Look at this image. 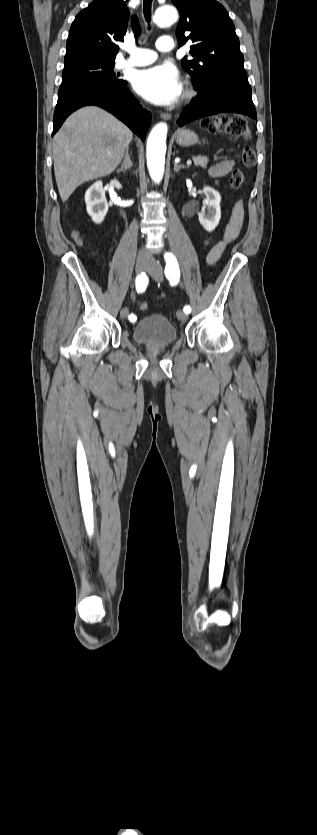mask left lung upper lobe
<instances>
[{
	"mask_svg": "<svg viewBox=\"0 0 317 835\" xmlns=\"http://www.w3.org/2000/svg\"><path fill=\"white\" fill-rule=\"evenodd\" d=\"M172 2L180 12L179 45L192 42L190 56L194 58L184 57L181 65L193 77L194 87L205 86L219 71H244L235 26L221 4L214 0Z\"/></svg>",
	"mask_w": 317,
	"mask_h": 835,
	"instance_id": "obj_1",
	"label": "left lung upper lobe"
}]
</instances>
